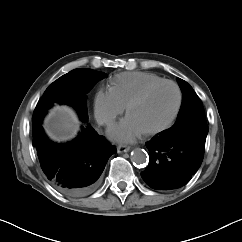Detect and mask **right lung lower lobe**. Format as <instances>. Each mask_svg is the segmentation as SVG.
<instances>
[{
  "label": "right lung lower lobe",
  "instance_id": "1",
  "mask_svg": "<svg viewBox=\"0 0 242 242\" xmlns=\"http://www.w3.org/2000/svg\"><path fill=\"white\" fill-rule=\"evenodd\" d=\"M83 122H86L83 121ZM33 146L50 183L69 196L91 193L99 182L113 145L88 125L71 142L58 144L47 138L41 122L33 124Z\"/></svg>",
  "mask_w": 242,
  "mask_h": 242
}]
</instances>
